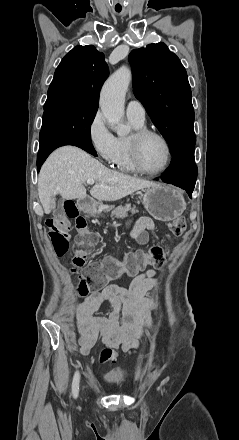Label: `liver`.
Returning <instances> with one entry per match:
<instances>
[{
  "mask_svg": "<svg viewBox=\"0 0 239 440\" xmlns=\"http://www.w3.org/2000/svg\"><path fill=\"white\" fill-rule=\"evenodd\" d=\"M87 180L98 182V188H91L90 194L96 200L104 202H115L138 190L160 186L109 170L83 150L74 146H64L47 158L38 176V196L45 214L51 212L52 196L60 194L64 200L85 198L86 190L82 184Z\"/></svg>",
  "mask_w": 239,
  "mask_h": 440,
  "instance_id": "1",
  "label": "liver"
}]
</instances>
